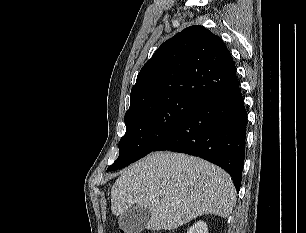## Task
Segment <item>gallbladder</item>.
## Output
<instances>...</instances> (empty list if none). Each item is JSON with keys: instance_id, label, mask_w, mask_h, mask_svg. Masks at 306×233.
<instances>
[{"instance_id": "gallbladder-1", "label": "gallbladder", "mask_w": 306, "mask_h": 233, "mask_svg": "<svg viewBox=\"0 0 306 233\" xmlns=\"http://www.w3.org/2000/svg\"><path fill=\"white\" fill-rule=\"evenodd\" d=\"M150 212L141 205H133L120 215L119 227L125 233H139L146 226Z\"/></svg>"}]
</instances>
